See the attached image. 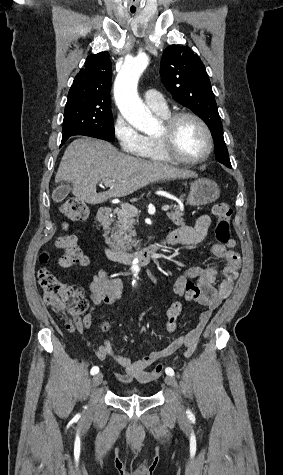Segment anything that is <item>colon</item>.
Returning a JSON list of instances; mask_svg holds the SVG:
<instances>
[{
  "label": "colon",
  "mask_w": 283,
  "mask_h": 475,
  "mask_svg": "<svg viewBox=\"0 0 283 475\" xmlns=\"http://www.w3.org/2000/svg\"><path fill=\"white\" fill-rule=\"evenodd\" d=\"M212 211L216 219L213 226L215 239L220 244H226L231 238L230 219L232 209L226 202L219 201L213 205ZM61 212L72 221L86 220L90 213L88 205L75 198L67 199L61 207ZM56 245L64 252L59 259V265L62 268L83 264V253L71 236L58 238ZM37 279L44 292L46 304L66 318V331L78 330L82 324V317L88 311V301L81 287L62 282L50 270L38 271ZM186 290V302L192 303L197 299L200 287L197 284L187 282ZM180 310L181 304L177 302L169 306L166 320L169 332L177 330Z\"/></svg>",
  "instance_id": "1"
}]
</instances>
